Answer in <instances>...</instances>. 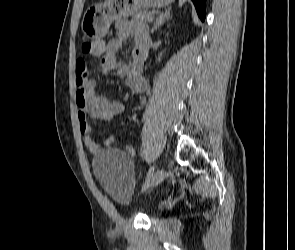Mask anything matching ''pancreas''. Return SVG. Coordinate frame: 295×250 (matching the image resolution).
Masks as SVG:
<instances>
[{
	"label": "pancreas",
	"instance_id": "obj_1",
	"mask_svg": "<svg viewBox=\"0 0 295 250\" xmlns=\"http://www.w3.org/2000/svg\"><path fill=\"white\" fill-rule=\"evenodd\" d=\"M148 16H151V15L147 11H141L139 13H136L132 18L131 24L145 25Z\"/></svg>",
	"mask_w": 295,
	"mask_h": 250
}]
</instances>
